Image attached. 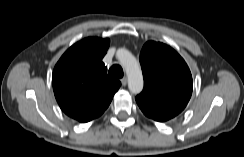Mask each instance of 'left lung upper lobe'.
I'll use <instances>...</instances> for the list:
<instances>
[{
  "mask_svg": "<svg viewBox=\"0 0 244 157\" xmlns=\"http://www.w3.org/2000/svg\"><path fill=\"white\" fill-rule=\"evenodd\" d=\"M144 89L136 102L149 118L165 122L181 113L193 88L191 72L170 46L148 41L140 53Z\"/></svg>",
  "mask_w": 244,
  "mask_h": 157,
  "instance_id": "1",
  "label": "left lung upper lobe"
}]
</instances>
